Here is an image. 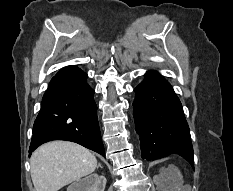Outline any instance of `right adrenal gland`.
Here are the masks:
<instances>
[{
	"label": "right adrenal gland",
	"mask_w": 233,
	"mask_h": 191,
	"mask_svg": "<svg viewBox=\"0 0 233 191\" xmlns=\"http://www.w3.org/2000/svg\"><path fill=\"white\" fill-rule=\"evenodd\" d=\"M99 167H102L100 163L98 164L97 168H99Z\"/></svg>",
	"instance_id": "2a0ac1e0"
}]
</instances>
